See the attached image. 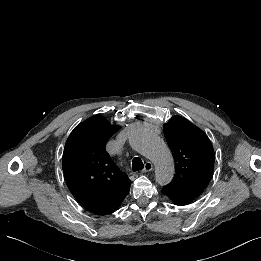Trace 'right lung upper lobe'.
<instances>
[{
    "instance_id": "1",
    "label": "right lung upper lobe",
    "mask_w": 261,
    "mask_h": 261,
    "mask_svg": "<svg viewBox=\"0 0 261 261\" xmlns=\"http://www.w3.org/2000/svg\"><path fill=\"white\" fill-rule=\"evenodd\" d=\"M118 128L102 115H94L80 123L65 144L62 167L67 186L75 199L96 215L117 210L129 192L130 179L105 150Z\"/></svg>"
}]
</instances>
